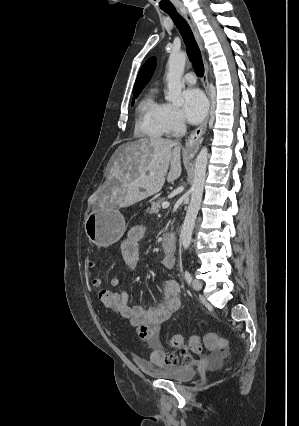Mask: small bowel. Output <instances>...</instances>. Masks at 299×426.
I'll use <instances>...</instances> for the list:
<instances>
[{
  "label": "small bowel",
  "instance_id": "obj_1",
  "mask_svg": "<svg viewBox=\"0 0 299 426\" xmlns=\"http://www.w3.org/2000/svg\"><path fill=\"white\" fill-rule=\"evenodd\" d=\"M142 226L132 227L126 239L121 244V253L125 263L135 269L139 261V242L144 236ZM161 264L166 269H172L175 264L174 258L166 255L161 260ZM120 279L117 276L111 277L109 285L117 287ZM180 307V287L174 280H167L163 286L162 300L154 307L129 306L128 294L126 291L120 292V302L115 312L127 319L130 325L136 330L139 337L145 341L151 349V361L159 367L171 366L178 363L188 366L194 363L195 358L183 350L182 353L165 352L160 344L159 335L161 325L168 320Z\"/></svg>",
  "mask_w": 299,
  "mask_h": 426
}]
</instances>
